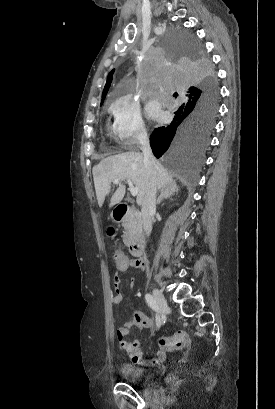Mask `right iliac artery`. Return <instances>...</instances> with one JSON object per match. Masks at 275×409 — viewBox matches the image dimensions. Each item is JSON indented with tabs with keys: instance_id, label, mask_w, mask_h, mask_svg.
<instances>
[{
	"instance_id": "obj_1",
	"label": "right iliac artery",
	"mask_w": 275,
	"mask_h": 409,
	"mask_svg": "<svg viewBox=\"0 0 275 409\" xmlns=\"http://www.w3.org/2000/svg\"><path fill=\"white\" fill-rule=\"evenodd\" d=\"M145 300H146V303L148 304V306H149L153 311L157 312L158 307H157L155 298H154L151 294H146V295H145ZM160 326H161V321H160V319L158 318V319H157V327L159 328Z\"/></svg>"
}]
</instances>
